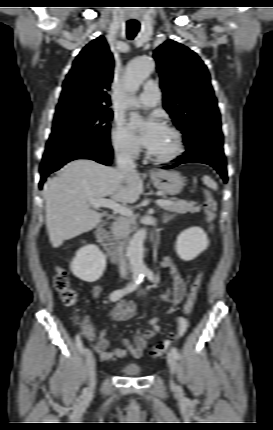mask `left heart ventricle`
Instances as JSON below:
<instances>
[{
    "mask_svg": "<svg viewBox=\"0 0 273 430\" xmlns=\"http://www.w3.org/2000/svg\"><path fill=\"white\" fill-rule=\"evenodd\" d=\"M174 149V137L166 129L162 133L160 140L156 147L151 152L158 156L170 154Z\"/></svg>",
    "mask_w": 273,
    "mask_h": 430,
    "instance_id": "obj_1",
    "label": "left heart ventricle"
}]
</instances>
